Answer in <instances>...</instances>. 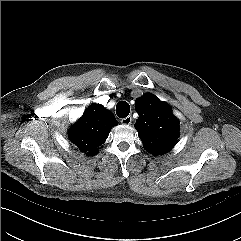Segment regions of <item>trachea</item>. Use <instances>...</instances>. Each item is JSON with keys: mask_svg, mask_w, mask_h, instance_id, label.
Returning a JSON list of instances; mask_svg holds the SVG:
<instances>
[{"mask_svg": "<svg viewBox=\"0 0 241 241\" xmlns=\"http://www.w3.org/2000/svg\"><path fill=\"white\" fill-rule=\"evenodd\" d=\"M130 113V106L126 101H120L116 106V114L119 118H126Z\"/></svg>", "mask_w": 241, "mask_h": 241, "instance_id": "trachea-1", "label": "trachea"}]
</instances>
